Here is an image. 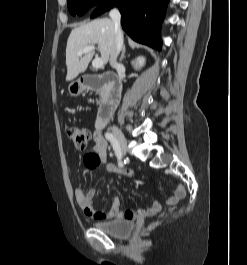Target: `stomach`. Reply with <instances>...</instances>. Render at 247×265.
<instances>
[{
	"mask_svg": "<svg viewBox=\"0 0 247 265\" xmlns=\"http://www.w3.org/2000/svg\"><path fill=\"white\" fill-rule=\"evenodd\" d=\"M84 90L85 85L80 79L73 81L68 86L69 94L74 97L80 95Z\"/></svg>",
	"mask_w": 247,
	"mask_h": 265,
	"instance_id": "0dacf381",
	"label": "stomach"
}]
</instances>
